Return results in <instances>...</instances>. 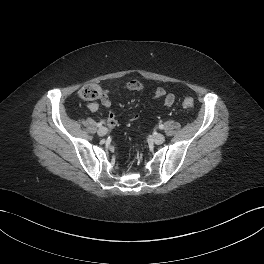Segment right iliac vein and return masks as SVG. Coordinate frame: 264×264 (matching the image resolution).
Listing matches in <instances>:
<instances>
[{"label": "right iliac vein", "mask_w": 264, "mask_h": 264, "mask_svg": "<svg viewBox=\"0 0 264 264\" xmlns=\"http://www.w3.org/2000/svg\"><path fill=\"white\" fill-rule=\"evenodd\" d=\"M108 132V129L106 127H100L97 131L99 136H104L106 135Z\"/></svg>", "instance_id": "obj_1"}]
</instances>
